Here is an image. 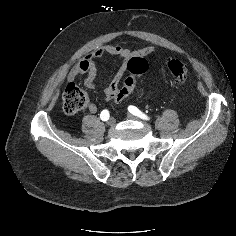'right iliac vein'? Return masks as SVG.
<instances>
[{
  "instance_id": "63e3f726",
  "label": "right iliac vein",
  "mask_w": 236,
  "mask_h": 236,
  "mask_svg": "<svg viewBox=\"0 0 236 236\" xmlns=\"http://www.w3.org/2000/svg\"><path fill=\"white\" fill-rule=\"evenodd\" d=\"M108 125L109 126H114L115 125V119L114 118H110L108 121Z\"/></svg>"
}]
</instances>
